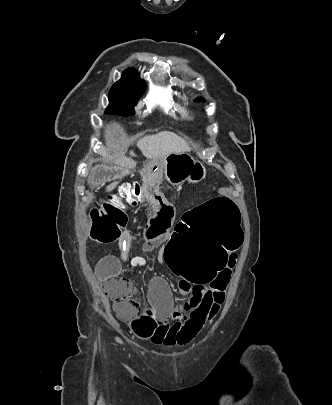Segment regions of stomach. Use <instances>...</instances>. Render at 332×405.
Returning <instances> with one entry per match:
<instances>
[{
    "mask_svg": "<svg viewBox=\"0 0 332 405\" xmlns=\"http://www.w3.org/2000/svg\"><path fill=\"white\" fill-rule=\"evenodd\" d=\"M160 161L166 179L173 185L198 183L207 176L205 166L185 152L169 154Z\"/></svg>",
    "mask_w": 332,
    "mask_h": 405,
    "instance_id": "obj_1",
    "label": "stomach"
}]
</instances>
